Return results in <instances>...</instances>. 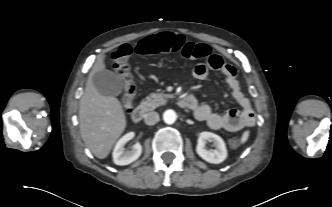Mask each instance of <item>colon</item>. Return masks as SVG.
I'll return each mask as SVG.
<instances>
[{"instance_id":"colon-1","label":"colon","mask_w":332,"mask_h":207,"mask_svg":"<svg viewBox=\"0 0 332 207\" xmlns=\"http://www.w3.org/2000/svg\"><path fill=\"white\" fill-rule=\"evenodd\" d=\"M153 54L161 52H180L187 60H198L206 57L216 59L217 55L211 54L208 45L203 43L188 42L182 35L161 33L139 41L134 46L122 44L112 54L114 67L123 80L122 101L126 111L130 112L136 94V84L132 75L129 58L133 53ZM239 141L232 142L233 146Z\"/></svg>"}]
</instances>
